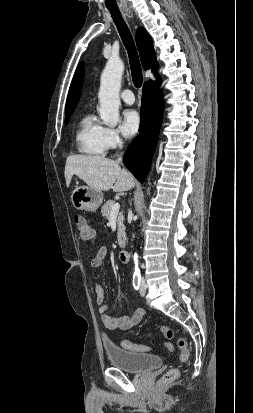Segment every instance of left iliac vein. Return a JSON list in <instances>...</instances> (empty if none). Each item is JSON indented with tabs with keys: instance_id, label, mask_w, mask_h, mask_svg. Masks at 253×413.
<instances>
[{
	"instance_id": "4c4485c4",
	"label": "left iliac vein",
	"mask_w": 253,
	"mask_h": 413,
	"mask_svg": "<svg viewBox=\"0 0 253 413\" xmlns=\"http://www.w3.org/2000/svg\"><path fill=\"white\" fill-rule=\"evenodd\" d=\"M147 285L144 279H142L141 287H140V295L143 297L146 294Z\"/></svg>"
}]
</instances>
